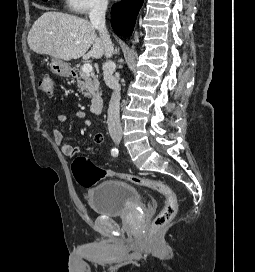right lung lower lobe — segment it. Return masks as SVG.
I'll return each mask as SVG.
<instances>
[{"mask_svg":"<svg viewBox=\"0 0 255 272\" xmlns=\"http://www.w3.org/2000/svg\"><path fill=\"white\" fill-rule=\"evenodd\" d=\"M143 0H123L113 5L111 24L115 32L123 36H131L138 11Z\"/></svg>","mask_w":255,"mask_h":272,"instance_id":"right-lung-lower-lobe-1","label":"right lung lower lobe"}]
</instances>
